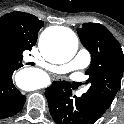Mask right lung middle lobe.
<instances>
[{
  "instance_id": "1",
  "label": "right lung middle lobe",
  "mask_w": 124,
  "mask_h": 124,
  "mask_svg": "<svg viewBox=\"0 0 124 124\" xmlns=\"http://www.w3.org/2000/svg\"><path fill=\"white\" fill-rule=\"evenodd\" d=\"M7 47L4 43L0 42V53L6 52Z\"/></svg>"
}]
</instances>
